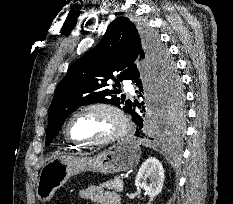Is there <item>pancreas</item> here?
Wrapping results in <instances>:
<instances>
[{"instance_id": "1", "label": "pancreas", "mask_w": 233, "mask_h": 204, "mask_svg": "<svg viewBox=\"0 0 233 204\" xmlns=\"http://www.w3.org/2000/svg\"><path fill=\"white\" fill-rule=\"evenodd\" d=\"M100 186L106 188L107 190H114L116 192H122L124 189L123 180L119 178L101 183Z\"/></svg>"}]
</instances>
